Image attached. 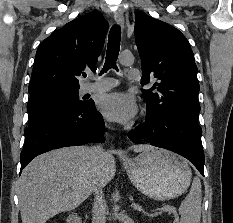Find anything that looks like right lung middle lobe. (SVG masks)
<instances>
[{"mask_svg": "<svg viewBox=\"0 0 233 223\" xmlns=\"http://www.w3.org/2000/svg\"><path fill=\"white\" fill-rule=\"evenodd\" d=\"M78 90L79 88H51L30 94L27 108L29 126L86 106L90 100H80Z\"/></svg>", "mask_w": 233, "mask_h": 223, "instance_id": "dd1d6c3e", "label": "right lung middle lobe"}]
</instances>
